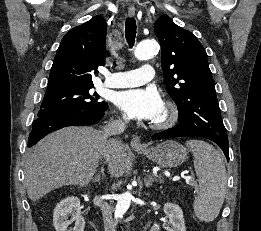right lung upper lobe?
<instances>
[{"label": "right lung upper lobe", "mask_w": 261, "mask_h": 231, "mask_svg": "<svg viewBox=\"0 0 261 231\" xmlns=\"http://www.w3.org/2000/svg\"><path fill=\"white\" fill-rule=\"evenodd\" d=\"M107 25L95 16L66 33L51 67L48 87L93 85L98 66H104Z\"/></svg>", "instance_id": "obj_1"}]
</instances>
